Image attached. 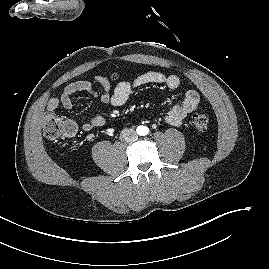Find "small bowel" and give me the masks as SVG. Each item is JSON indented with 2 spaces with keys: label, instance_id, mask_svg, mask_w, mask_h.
<instances>
[{
  "label": "small bowel",
  "instance_id": "1",
  "mask_svg": "<svg viewBox=\"0 0 269 269\" xmlns=\"http://www.w3.org/2000/svg\"><path fill=\"white\" fill-rule=\"evenodd\" d=\"M94 80L101 86V91L98 92L93 87L92 83L86 80H79L69 83L64 87L59 97H52L47 103L48 112L56 110L59 106L64 109L73 108L72 96L78 92H87L93 97L97 98L101 103L110 104L114 107L124 105L129 99L132 92L141 86L148 84H160L168 87L169 89H176L180 85V79L174 74H164L157 71H147L141 73L131 81L119 82L114 89L111 88L110 82L104 76L97 75ZM200 95L195 90H188L181 101V103L173 106L166 114V122L173 126L181 125L188 114L193 112L199 105ZM104 118L101 113H97L94 117L90 118L83 123L82 129L86 132L91 131L93 128L101 127L104 125ZM69 129L67 136H72L76 132V125L69 121Z\"/></svg>",
  "mask_w": 269,
  "mask_h": 269
}]
</instances>
